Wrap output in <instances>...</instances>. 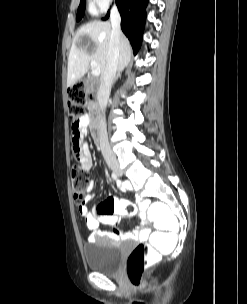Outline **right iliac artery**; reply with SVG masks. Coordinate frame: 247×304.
<instances>
[{"mask_svg": "<svg viewBox=\"0 0 247 304\" xmlns=\"http://www.w3.org/2000/svg\"><path fill=\"white\" fill-rule=\"evenodd\" d=\"M112 178H113L114 180H116V179H117V176H116V174H115V173H112Z\"/></svg>", "mask_w": 247, "mask_h": 304, "instance_id": "1", "label": "right iliac artery"}]
</instances>
